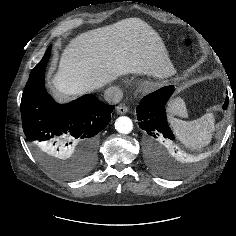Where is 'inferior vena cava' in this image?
Segmentation results:
<instances>
[{
  "instance_id": "inferior-vena-cava-1",
  "label": "inferior vena cava",
  "mask_w": 236,
  "mask_h": 236,
  "mask_svg": "<svg viewBox=\"0 0 236 236\" xmlns=\"http://www.w3.org/2000/svg\"><path fill=\"white\" fill-rule=\"evenodd\" d=\"M123 92L119 87L112 86L105 90L104 98L108 103L116 104L121 101Z\"/></svg>"
}]
</instances>
